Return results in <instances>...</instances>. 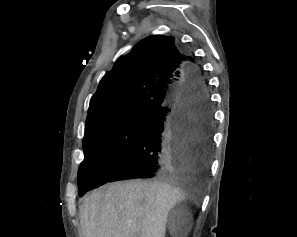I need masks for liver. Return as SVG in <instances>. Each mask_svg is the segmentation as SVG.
<instances>
[{
  "instance_id": "1",
  "label": "liver",
  "mask_w": 297,
  "mask_h": 237,
  "mask_svg": "<svg viewBox=\"0 0 297 237\" xmlns=\"http://www.w3.org/2000/svg\"><path fill=\"white\" fill-rule=\"evenodd\" d=\"M185 181H121L93 192L79 208L84 237H165L169 211L193 198Z\"/></svg>"
}]
</instances>
